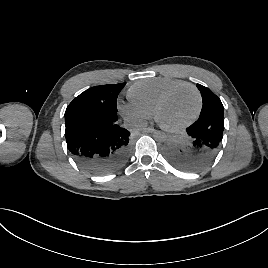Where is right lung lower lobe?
Segmentation results:
<instances>
[{
  "mask_svg": "<svg viewBox=\"0 0 268 268\" xmlns=\"http://www.w3.org/2000/svg\"><path fill=\"white\" fill-rule=\"evenodd\" d=\"M67 148L94 175L120 169L130 154V132L115 122L117 112L81 105L65 112Z\"/></svg>",
  "mask_w": 268,
  "mask_h": 268,
  "instance_id": "obj_1",
  "label": "right lung lower lobe"
}]
</instances>
